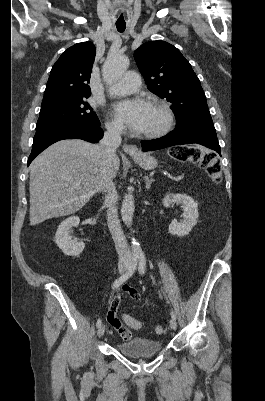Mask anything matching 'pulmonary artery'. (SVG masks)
Listing matches in <instances>:
<instances>
[{"label": "pulmonary artery", "mask_w": 265, "mask_h": 401, "mask_svg": "<svg viewBox=\"0 0 265 401\" xmlns=\"http://www.w3.org/2000/svg\"><path fill=\"white\" fill-rule=\"evenodd\" d=\"M116 91H112L108 96L113 97L117 95H137L139 88V76L137 72H126L121 76L120 81L115 84Z\"/></svg>", "instance_id": "obj_1"}]
</instances>
